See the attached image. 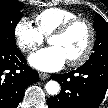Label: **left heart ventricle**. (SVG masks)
I'll return each instance as SVG.
<instances>
[{"label":"left heart ventricle","mask_w":108,"mask_h":108,"mask_svg":"<svg viewBox=\"0 0 108 108\" xmlns=\"http://www.w3.org/2000/svg\"><path fill=\"white\" fill-rule=\"evenodd\" d=\"M89 33L85 25L79 23L62 36L49 39L51 46H56L64 53L67 61L78 57L88 43Z\"/></svg>","instance_id":"left-heart-ventricle-1"}]
</instances>
